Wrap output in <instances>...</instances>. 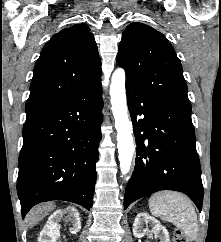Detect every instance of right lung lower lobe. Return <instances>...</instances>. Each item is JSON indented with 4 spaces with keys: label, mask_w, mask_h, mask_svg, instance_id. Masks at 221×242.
Instances as JSON below:
<instances>
[{
    "label": "right lung lower lobe",
    "mask_w": 221,
    "mask_h": 242,
    "mask_svg": "<svg viewBox=\"0 0 221 242\" xmlns=\"http://www.w3.org/2000/svg\"><path fill=\"white\" fill-rule=\"evenodd\" d=\"M102 107L99 75L64 98L26 108L17 181L23 218L50 200L92 207Z\"/></svg>",
    "instance_id": "98d812e1"
}]
</instances>
